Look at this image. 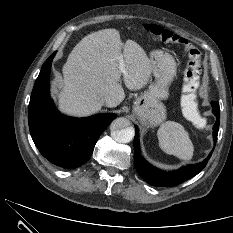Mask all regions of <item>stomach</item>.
I'll return each mask as SVG.
<instances>
[{"instance_id":"0dacf381","label":"stomach","mask_w":233,"mask_h":233,"mask_svg":"<svg viewBox=\"0 0 233 233\" xmlns=\"http://www.w3.org/2000/svg\"><path fill=\"white\" fill-rule=\"evenodd\" d=\"M154 81L134 102L133 112L143 125L155 127L166 119V108L162 102L169 96V86L175 78L177 65L172 55L161 50L150 54Z\"/></svg>"}]
</instances>
